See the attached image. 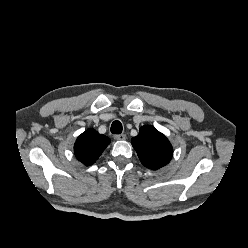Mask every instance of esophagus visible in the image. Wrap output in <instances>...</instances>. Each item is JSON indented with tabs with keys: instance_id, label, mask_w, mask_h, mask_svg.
I'll return each mask as SVG.
<instances>
[{
	"instance_id": "obj_1",
	"label": "esophagus",
	"mask_w": 248,
	"mask_h": 248,
	"mask_svg": "<svg viewBox=\"0 0 248 248\" xmlns=\"http://www.w3.org/2000/svg\"><path fill=\"white\" fill-rule=\"evenodd\" d=\"M127 137L125 134H117V135H114V139L115 140H118V141H123L125 140Z\"/></svg>"
}]
</instances>
